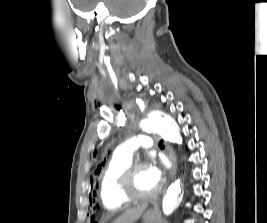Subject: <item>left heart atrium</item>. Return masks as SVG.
<instances>
[{"mask_svg":"<svg viewBox=\"0 0 267 223\" xmlns=\"http://www.w3.org/2000/svg\"><path fill=\"white\" fill-rule=\"evenodd\" d=\"M148 175L150 179L157 185L160 184L162 179V172L156 165H151L148 167Z\"/></svg>","mask_w":267,"mask_h":223,"instance_id":"39dd6f15","label":"left heart atrium"}]
</instances>
